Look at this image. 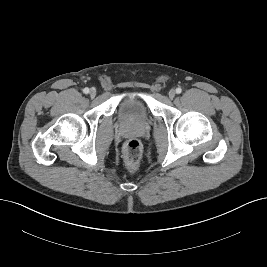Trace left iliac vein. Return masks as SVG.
Here are the masks:
<instances>
[{
  "instance_id": "obj_1",
  "label": "left iliac vein",
  "mask_w": 267,
  "mask_h": 267,
  "mask_svg": "<svg viewBox=\"0 0 267 267\" xmlns=\"http://www.w3.org/2000/svg\"><path fill=\"white\" fill-rule=\"evenodd\" d=\"M176 95V91L174 89H171L168 93V96L170 99H173Z\"/></svg>"
}]
</instances>
